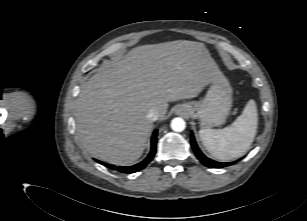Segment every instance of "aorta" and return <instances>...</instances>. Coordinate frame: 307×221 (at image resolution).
Instances as JSON below:
<instances>
[{"label":"aorta","instance_id":"obj_1","mask_svg":"<svg viewBox=\"0 0 307 221\" xmlns=\"http://www.w3.org/2000/svg\"><path fill=\"white\" fill-rule=\"evenodd\" d=\"M185 127H186V123L184 119L182 118L177 117L171 121V128L173 131L181 132L185 129Z\"/></svg>","mask_w":307,"mask_h":221}]
</instances>
